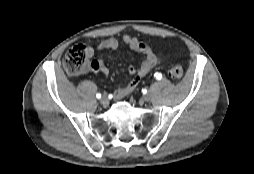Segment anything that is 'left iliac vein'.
Segmentation results:
<instances>
[{"instance_id": "4c4485c4", "label": "left iliac vein", "mask_w": 254, "mask_h": 174, "mask_svg": "<svg viewBox=\"0 0 254 174\" xmlns=\"http://www.w3.org/2000/svg\"><path fill=\"white\" fill-rule=\"evenodd\" d=\"M151 99V94L150 93H147L143 96V100L144 101H149Z\"/></svg>"}]
</instances>
